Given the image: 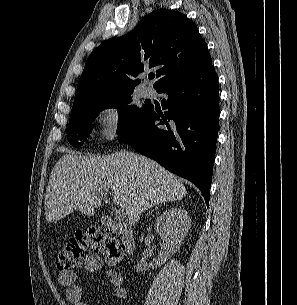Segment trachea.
Here are the masks:
<instances>
[{"mask_svg":"<svg viewBox=\"0 0 297 305\" xmlns=\"http://www.w3.org/2000/svg\"><path fill=\"white\" fill-rule=\"evenodd\" d=\"M154 78V76L153 75H149V79H153Z\"/></svg>","mask_w":297,"mask_h":305,"instance_id":"obj_1","label":"trachea"}]
</instances>
